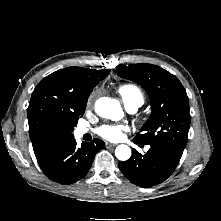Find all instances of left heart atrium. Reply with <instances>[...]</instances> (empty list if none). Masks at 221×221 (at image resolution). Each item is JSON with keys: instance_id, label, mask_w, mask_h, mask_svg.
Segmentation results:
<instances>
[{"instance_id": "1", "label": "left heart atrium", "mask_w": 221, "mask_h": 221, "mask_svg": "<svg viewBox=\"0 0 221 221\" xmlns=\"http://www.w3.org/2000/svg\"><path fill=\"white\" fill-rule=\"evenodd\" d=\"M125 127L123 125H103L98 129V134L106 140L116 141L122 138Z\"/></svg>"}]
</instances>
